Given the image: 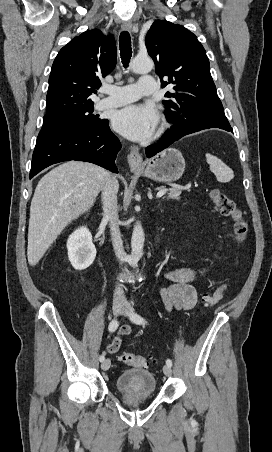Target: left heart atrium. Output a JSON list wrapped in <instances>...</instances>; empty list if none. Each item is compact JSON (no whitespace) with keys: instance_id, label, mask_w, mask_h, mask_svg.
<instances>
[{"instance_id":"39dd6f15","label":"left heart atrium","mask_w":272,"mask_h":452,"mask_svg":"<svg viewBox=\"0 0 272 452\" xmlns=\"http://www.w3.org/2000/svg\"><path fill=\"white\" fill-rule=\"evenodd\" d=\"M158 123V113L150 105H129L114 116V129L125 137L142 141L149 138Z\"/></svg>"}]
</instances>
